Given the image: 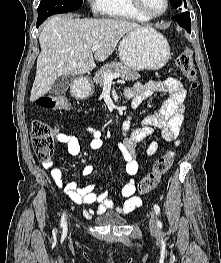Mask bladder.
Instances as JSON below:
<instances>
[{
  "instance_id": "1",
  "label": "bladder",
  "mask_w": 221,
  "mask_h": 263,
  "mask_svg": "<svg viewBox=\"0 0 221 263\" xmlns=\"http://www.w3.org/2000/svg\"><path fill=\"white\" fill-rule=\"evenodd\" d=\"M95 220L100 225H123L126 223V220L119 216H99Z\"/></svg>"
}]
</instances>
